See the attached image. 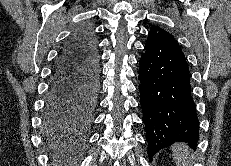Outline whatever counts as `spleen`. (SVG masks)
Returning a JSON list of instances; mask_svg holds the SVG:
<instances>
[{
    "label": "spleen",
    "instance_id": "3e777b00",
    "mask_svg": "<svg viewBox=\"0 0 231 166\" xmlns=\"http://www.w3.org/2000/svg\"><path fill=\"white\" fill-rule=\"evenodd\" d=\"M172 153L178 166H192V154L185 143H176L172 146Z\"/></svg>",
    "mask_w": 231,
    "mask_h": 166
}]
</instances>
